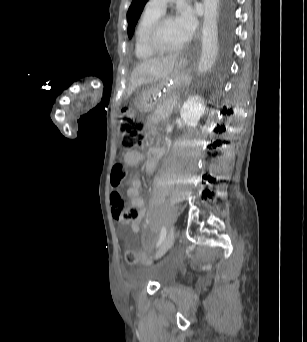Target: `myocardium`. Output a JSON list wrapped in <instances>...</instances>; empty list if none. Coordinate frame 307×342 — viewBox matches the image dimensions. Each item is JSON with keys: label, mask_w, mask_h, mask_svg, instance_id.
Returning a JSON list of instances; mask_svg holds the SVG:
<instances>
[{"label": "myocardium", "mask_w": 307, "mask_h": 342, "mask_svg": "<svg viewBox=\"0 0 307 342\" xmlns=\"http://www.w3.org/2000/svg\"><path fill=\"white\" fill-rule=\"evenodd\" d=\"M172 20H174V18L171 16H165V15L159 16L150 24L148 28L146 38H145L146 46L150 51H152L156 55L175 56V55L181 54L185 48L184 46L177 50H167V49H164L159 43V34H160L162 26L166 22L172 21Z\"/></svg>", "instance_id": "myocardium-1"}]
</instances>
